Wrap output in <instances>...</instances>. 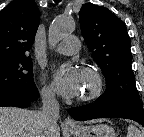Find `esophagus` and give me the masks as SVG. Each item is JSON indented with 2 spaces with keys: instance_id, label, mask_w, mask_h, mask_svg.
<instances>
[{
  "instance_id": "esophagus-1",
  "label": "esophagus",
  "mask_w": 144,
  "mask_h": 137,
  "mask_svg": "<svg viewBox=\"0 0 144 137\" xmlns=\"http://www.w3.org/2000/svg\"><path fill=\"white\" fill-rule=\"evenodd\" d=\"M64 126L68 129H75L78 127V124L72 118L68 117L64 121Z\"/></svg>"
}]
</instances>
